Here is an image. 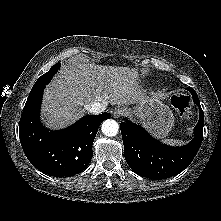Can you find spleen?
Listing matches in <instances>:
<instances>
[{
    "instance_id": "3e777b00",
    "label": "spleen",
    "mask_w": 221,
    "mask_h": 221,
    "mask_svg": "<svg viewBox=\"0 0 221 221\" xmlns=\"http://www.w3.org/2000/svg\"><path fill=\"white\" fill-rule=\"evenodd\" d=\"M164 142L169 145H183L185 143L182 140H174V139H165Z\"/></svg>"
}]
</instances>
